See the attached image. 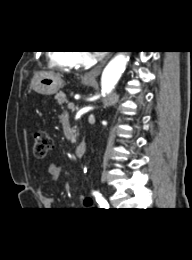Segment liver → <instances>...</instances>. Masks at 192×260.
I'll list each match as a JSON object with an SVG mask.
<instances>
[{"instance_id": "1", "label": "liver", "mask_w": 192, "mask_h": 260, "mask_svg": "<svg viewBox=\"0 0 192 260\" xmlns=\"http://www.w3.org/2000/svg\"><path fill=\"white\" fill-rule=\"evenodd\" d=\"M42 73H50V74H51V73H53V72H42Z\"/></svg>"}]
</instances>
